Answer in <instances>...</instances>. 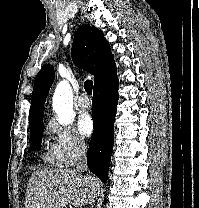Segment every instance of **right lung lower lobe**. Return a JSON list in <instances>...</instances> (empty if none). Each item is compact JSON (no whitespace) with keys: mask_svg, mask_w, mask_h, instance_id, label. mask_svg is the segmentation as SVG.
Returning a JSON list of instances; mask_svg holds the SVG:
<instances>
[{"mask_svg":"<svg viewBox=\"0 0 199 208\" xmlns=\"http://www.w3.org/2000/svg\"><path fill=\"white\" fill-rule=\"evenodd\" d=\"M118 79L94 88L92 116L94 132L87 152L89 169L106 183L114 143V119L118 103Z\"/></svg>","mask_w":199,"mask_h":208,"instance_id":"right-lung-lower-lobe-1","label":"right lung lower lobe"}]
</instances>
